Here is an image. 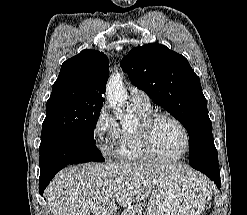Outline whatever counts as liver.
Listing matches in <instances>:
<instances>
[{
	"mask_svg": "<svg viewBox=\"0 0 247 215\" xmlns=\"http://www.w3.org/2000/svg\"><path fill=\"white\" fill-rule=\"evenodd\" d=\"M183 169L180 164L170 163L70 166L55 176L44 194L52 215H113L117 211L115 201L124 208L130 207Z\"/></svg>",
	"mask_w": 247,
	"mask_h": 215,
	"instance_id": "obj_1",
	"label": "liver"
}]
</instances>
